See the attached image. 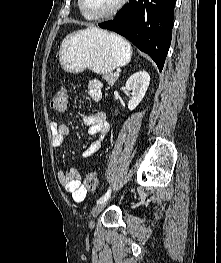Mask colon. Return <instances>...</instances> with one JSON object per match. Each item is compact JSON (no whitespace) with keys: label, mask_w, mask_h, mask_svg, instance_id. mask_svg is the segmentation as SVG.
I'll use <instances>...</instances> for the list:
<instances>
[{"label":"colon","mask_w":221,"mask_h":263,"mask_svg":"<svg viewBox=\"0 0 221 263\" xmlns=\"http://www.w3.org/2000/svg\"><path fill=\"white\" fill-rule=\"evenodd\" d=\"M68 103V93L65 88L59 89L52 97L51 108L57 113L65 112ZM84 186L89 192H95L98 188V176L95 171H90L84 178Z\"/></svg>","instance_id":"colon-1"}]
</instances>
